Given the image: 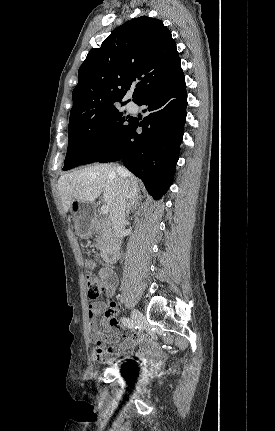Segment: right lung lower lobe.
I'll list each match as a JSON object with an SVG mask.
<instances>
[{
  "label": "right lung lower lobe",
  "instance_id": "1",
  "mask_svg": "<svg viewBox=\"0 0 275 431\" xmlns=\"http://www.w3.org/2000/svg\"><path fill=\"white\" fill-rule=\"evenodd\" d=\"M147 116L130 125L98 162L122 160L139 177L154 198H161L172 184L186 121L187 93L182 69L163 86L145 95ZM143 131L137 133L136 129Z\"/></svg>",
  "mask_w": 275,
  "mask_h": 431
}]
</instances>
